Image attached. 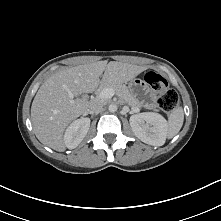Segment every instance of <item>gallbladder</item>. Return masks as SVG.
Listing matches in <instances>:
<instances>
[{"label":"gallbladder","instance_id":"obj_1","mask_svg":"<svg viewBox=\"0 0 221 221\" xmlns=\"http://www.w3.org/2000/svg\"><path fill=\"white\" fill-rule=\"evenodd\" d=\"M79 97H84V95H79Z\"/></svg>","mask_w":221,"mask_h":221}]
</instances>
